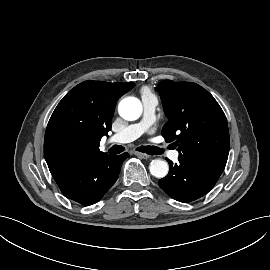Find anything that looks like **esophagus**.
Listing matches in <instances>:
<instances>
[{
    "label": "esophagus",
    "mask_w": 270,
    "mask_h": 270,
    "mask_svg": "<svg viewBox=\"0 0 270 270\" xmlns=\"http://www.w3.org/2000/svg\"><path fill=\"white\" fill-rule=\"evenodd\" d=\"M136 156L140 157V158H143V159H148L150 158V156L148 154H145V153H141V152H135L134 153Z\"/></svg>",
    "instance_id": "obj_1"
}]
</instances>
